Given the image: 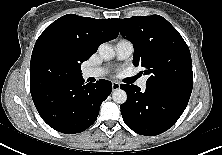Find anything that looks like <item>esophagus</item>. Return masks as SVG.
Returning <instances> with one entry per match:
<instances>
[{"label":"esophagus","instance_id":"esophagus-1","mask_svg":"<svg viewBox=\"0 0 222 155\" xmlns=\"http://www.w3.org/2000/svg\"><path fill=\"white\" fill-rule=\"evenodd\" d=\"M120 88V84L118 82H112V89L113 90H118Z\"/></svg>","mask_w":222,"mask_h":155}]
</instances>
